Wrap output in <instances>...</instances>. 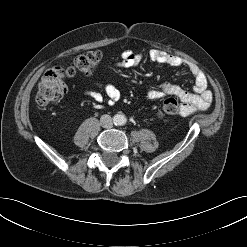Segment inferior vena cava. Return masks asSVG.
I'll return each instance as SVG.
<instances>
[{"label": "inferior vena cava", "mask_w": 247, "mask_h": 247, "mask_svg": "<svg viewBox=\"0 0 247 247\" xmlns=\"http://www.w3.org/2000/svg\"><path fill=\"white\" fill-rule=\"evenodd\" d=\"M100 124L104 128H111L113 126V120L110 115H102L100 119Z\"/></svg>", "instance_id": "1"}]
</instances>
